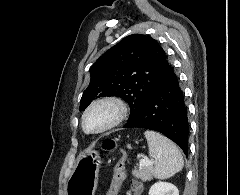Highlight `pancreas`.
<instances>
[{
    "label": "pancreas",
    "mask_w": 240,
    "mask_h": 195,
    "mask_svg": "<svg viewBox=\"0 0 240 195\" xmlns=\"http://www.w3.org/2000/svg\"><path fill=\"white\" fill-rule=\"evenodd\" d=\"M134 177H139L141 181H151L153 179V167H140V169H132Z\"/></svg>",
    "instance_id": "obj_1"
}]
</instances>
